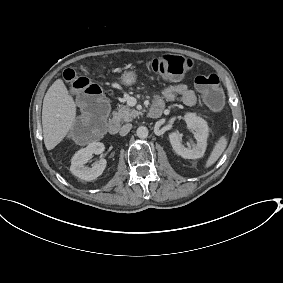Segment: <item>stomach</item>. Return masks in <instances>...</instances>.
<instances>
[{
	"instance_id": "stomach-1",
	"label": "stomach",
	"mask_w": 283,
	"mask_h": 283,
	"mask_svg": "<svg viewBox=\"0 0 283 283\" xmlns=\"http://www.w3.org/2000/svg\"><path fill=\"white\" fill-rule=\"evenodd\" d=\"M118 81L125 88H128V87L135 85L138 81L137 70H135V69H125L121 73Z\"/></svg>"
}]
</instances>
